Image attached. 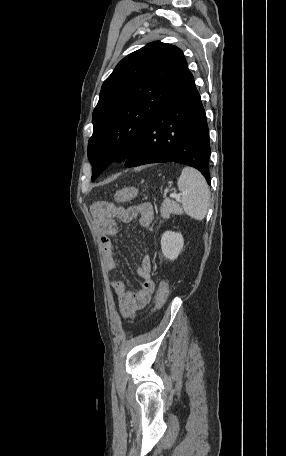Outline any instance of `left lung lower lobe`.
I'll return each mask as SVG.
<instances>
[{"instance_id":"1","label":"left lung lower lobe","mask_w":286,"mask_h":456,"mask_svg":"<svg viewBox=\"0 0 286 456\" xmlns=\"http://www.w3.org/2000/svg\"><path fill=\"white\" fill-rule=\"evenodd\" d=\"M209 158L206 115L188 72L142 132L125 166L182 163L198 169L210 184Z\"/></svg>"}]
</instances>
